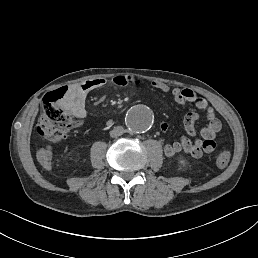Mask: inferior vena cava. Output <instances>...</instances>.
<instances>
[{
  "label": "inferior vena cava",
  "mask_w": 258,
  "mask_h": 258,
  "mask_svg": "<svg viewBox=\"0 0 258 258\" xmlns=\"http://www.w3.org/2000/svg\"><path fill=\"white\" fill-rule=\"evenodd\" d=\"M124 133V128L122 126L114 127L113 130L110 131L111 137H118Z\"/></svg>",
  "instance_id": "1"
}]
</instances>
